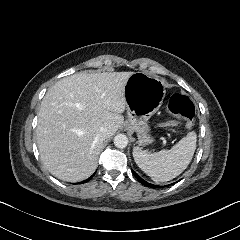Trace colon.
I'll return each instance as SVG.
<instances>
[{"instance_id": "5ec220e1", "label": "colon", "mask_w": 240, "mask_h": 240, "mask_svg": "<svg viewBox=\"0 0 240 240\" xmlns=\"http://www.w3.org/2000/svg\"><path fill=\"white\" fill-rule=\"evenodd\" d=\"M168 112L175 117H183L186 119V130L190 131L191 126L195 124L196 108L190 97L184 95L172 96L167 105ZM177 127V119L168 117L162 120V128Z\"/></svg>"}]
</instances>
